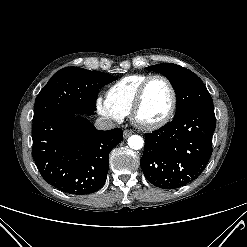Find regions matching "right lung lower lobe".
I'll use <instances>...</instances> for the list:
<instances>
[{"label":"right lung lower lobe","mask_w":247,"mask_h":247,"mask_svg":"<svg viewBox=\"0 0 247 247\" xmlns=\"http://www.w3.org/2000/svg\"><path fill=\"white\" fill-rule=\"evenodd\" d=\"M122 139L121 129L96 130L83 114L55 110L34 118L32 156L48 183L85 195L105 183L109 153Z\"/></svg>","instance_id":"1"}]
</instances>
